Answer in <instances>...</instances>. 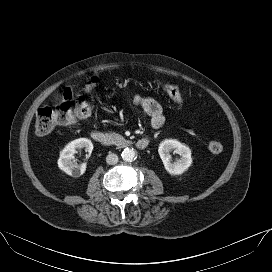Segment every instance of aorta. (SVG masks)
<instances>
[{
    "mask_svg": "<svg viewBox=\"0 0 272 272\" xmlns=\"http://www.w3.org/2000/svg\"><path fill=\"white\" fill-rule=\"evenodd\" d=\"M121 157L126 162H131L136 158V151L133 148H125L122 153Z\"/></svg>",
    "mask_w": 272,
    "mask_h": 272,
    "instance_id": "aorta-1",
    "label": "aorta"
}]
</instances>
